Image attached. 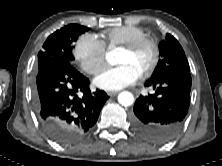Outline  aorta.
<instances>
[{
	"label": "aorta",
	"mask_w": 222,
	"mask_h": 166,
	"mask_svg": "<svg viewBox=\"0 0 222 166\" xmlns=\"http://www.w3.org/2000/svg\"><path fill=\"white\" fill-rule=\"evenodd\" d=\"M106 59L110 64H115V62H116L115 53L113 51L108 52L106 54ZM118 102L122 106H125V107L130 106L134 102V97H133L132 93H130L128 91H123L118 95Z\"/></svg>",
	"instance_id": "762f6f07"
}]
</instances>
